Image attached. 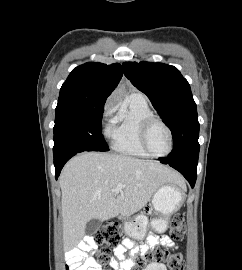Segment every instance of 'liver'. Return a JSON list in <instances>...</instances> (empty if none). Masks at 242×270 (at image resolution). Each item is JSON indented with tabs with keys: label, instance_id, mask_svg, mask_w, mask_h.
Here are the masks:
<instances>
[{
	"label": "liver",
	"instance_id": "liver-1",
	"mask_svg": "<svg viewBox=\"0 0 242 270\" xmlns=\"http://www.w3.org/2000/svg\"><path fill=\"white\" fill-rule=\"evenodd\" d=\"M59 183L65 248L84 237L91 219L130 216L142 209L162 185L184 186L177 172L156 161L99 152H85L69 160ZM118 183L124 187L115 193Z\"/></svg>",
	"mask_w": 242,
	"mask_h": 270
}]
</instances>
